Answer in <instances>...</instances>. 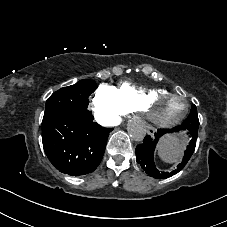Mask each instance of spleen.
Segmentation results:
<instances>
[{
    "label": "spleen",
    "mask_w": 227,
    "mask_h": 227,
    "mask_svg": "<svg viewBox=\"0 0 227 227\" xmlns=\"http://www.w3.org/2000/svg\"><path fill=\"white\" fill-rule=\"evenodd\" d=\"M183 140L177 137L166 136L158 149L161 158L167 162H177L182 150Z\"/></svg>",
    "instance_id": "obj_1"
}]
</instances>
